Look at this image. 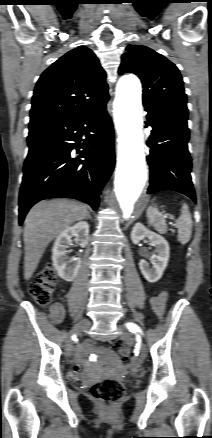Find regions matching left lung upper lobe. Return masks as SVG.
I'll list each match as a JSON object with an SVG mask.
<instances>
[{
	"label": "left lung upper lobe",
	"mask_w": 212,
	"mask_h": 438,
	"mask_svg": "<svg viewBox=\"0 0 212 438\" xmlns=\"http://www.w3.org/2000/svg\"><path fill=\"white\" fill-rule=\"evenodd\" d=\"M126 50L119 74L138 75L144 87V107L162 115L187 119V97L178 68L146 46L129 45Z\"/></svg>",
	"instance_id": "1"
}]
</instances>
